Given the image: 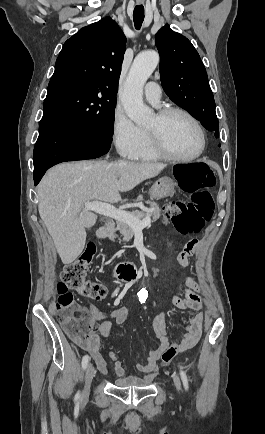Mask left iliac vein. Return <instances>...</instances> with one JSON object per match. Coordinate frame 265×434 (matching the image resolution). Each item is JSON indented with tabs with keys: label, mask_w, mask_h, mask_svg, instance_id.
Segmentation results:
<instances>
[{
	"label": "left iliac vein",
	"mask_w": 265,
	"mask_h": 434,
	"mask_svg": "<svg viewBox=\"0 0 265 434\" xmlns=\"http://www.w3.org/2000/svg\"><path fill=\"white\" fill-rule=\"evenodd\" d=\"M172 379H173V382H174V386H175V388H176V391H177L178 393H180V392H181V383H180V380H179L178 376L175 375V374H173Z\"/></svg>",
	"instance_id": "1"
}]
</instances>
